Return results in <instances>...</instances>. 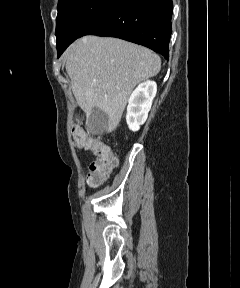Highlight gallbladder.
<instances>
[{"instance_id": "gallbladder-1", "label": "gallbladder", "mask_w": 240, "mask_h": 288, "mask_svg": "<svg viewBox=\"0 0 240 288\" xmlns=\"http://www.w3.org/2000/svg\"><path fill=\"white\" fill-rule=\"evenodd\" d=\"M88 121L90 123H95V122H105L106 121V117L105 114L98 108H93L89 117H88Z\"/></svg>"}]
</instances>
